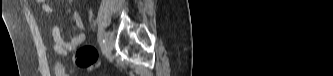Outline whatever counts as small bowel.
I'll list each match as a JSON object with an SVG mask.
<instances>
[{"label": "small bowel", "instance_id": "small-bowel-1", "mask_svg": "<svg viewBox=\"0 0 333 76\" xmlns=\"http://www.w3.org/2000/svg\"><path fill=\"white\" fill-rule=\"evenodd\" d=\"M40 8L48 13L54 12L51 4L46 0H37ZM72 19L78 28V33L69 40H66L62 34V30L57 23L52 25V37H53V50L59 55H67L74 51L79 45H81L86 39V28L82 21L81 12L75 9L72 13ZM56 76H66L64 67L61 64H56L54 67Z\"/></svg>", "mask_w": 333, "mask_h": 76}]
</instances>
